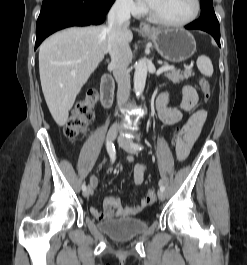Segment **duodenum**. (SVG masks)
I'll list each match as a JSON object with an SVG mask.
<instances>
[{"label":"duodenum","mask_w":247,"mask_h":265,"mask_svg":"<svg viewBox=\"0 0 247 265\" xmlns=\"http://www.w3.org/2000/svg\"><path fill=\"white\" fill-rule=\"evenodd\" d=\"M114 92V82L109 75L102 78L101 83V102L105 108H108L112 103Z\"/></svg>","instance_id":"1"}]
</instances>
